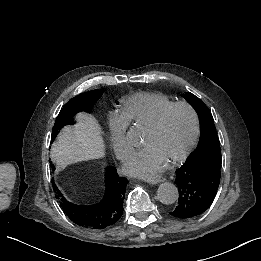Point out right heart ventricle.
I'll list each match as a JSON object with an SVG mask.
<instances>
[{
    "label": "right heart ventricle",
    "mask_w": 261,
    "mask_h": 261,
    "mask_svg": "<svg viewBox=\"0 0 261 261\" xmlns=\"http://www.w3.org/2000/svg\"><path fill=\"white\" fill-rule=\"evenodd\" d=\"M172 99L161 92H139L126 97L120 101V116L122 119H142L152 115Z\"/></svg>",
    "instance_id": "right-heart-ventricle-1"
}]
</instances>
